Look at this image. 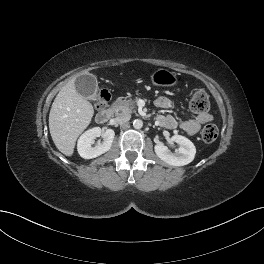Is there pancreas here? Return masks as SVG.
Wrapping results in <instances>:
<instances>
[{"label": "pancreas", "instance_id": "cf45deb5", "mask_svg": "<svg viewBox=\"0 0 264 264\" xmlns=\"http://www.w3.org/2000/svg\"><path fill=\"white\" fill-rule=\"evenodd\" d=\"M112 108L117 116L121 114H130L136 112V101L118 98L113 102Z\"/></svg>", "mask_w": 264, "mask_h": 264}]
</instances>
